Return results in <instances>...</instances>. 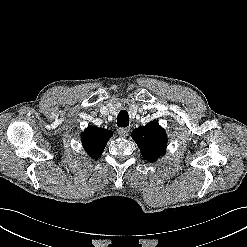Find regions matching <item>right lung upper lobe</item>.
I'll list each match as a JSON object with an SVG mask.
<instances>
[{"mask_svg": "<svg viewBox=\"0 0 247 247\" xmlns=\"http://www.w3.org/2000/svg\"><path fill=\"white\" fill-rule=\"evenodd\" d=\"M112 136L110 130L98 127H88L81 135L84 149L93 159L100 157Z\"/></svg>", "mask_w": 247, "mask_h": 247, "instance_id": "right-lung-upper-lobe-1", "label": "right lung upper lobe"}]
</instances>
